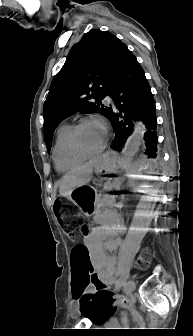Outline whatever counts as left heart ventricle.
I'll return each instance as SVG.
<instances>
[{
    "instance_id": "left-heart-ventricle-1",
    "label": "left heart ventricle",
    "mask_w": 193,
    "mask_h": 336,
    "mask_svg": "<svg viewBox=\"0 0 193 336\" xmlns=\"http://www.w3.org/2000/svg\"><path fill=\"white\" fill-rule=\"evenodd\" d=\"M105 132L98 123H88L78 132L79 144L88 151L99 148L104 140Z\"/></svg>"
}]
</instances>
